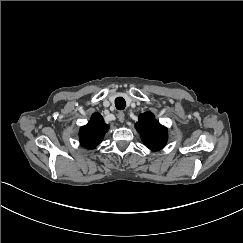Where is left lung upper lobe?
<instances>
[{
	"label": "left lung upper lobe",
	"instance_id": "left-lung-upper-lobe-1",
	"mask_svg": "<svg viewBox=\"0 0 243 243\" xmlns=\"http://www.w3.org/2000/svg\"><path fill=\"white\" fill-rule=\"evenodd\" d=\"M143 143L153 151L162 149L167 142V129L162 126L151 112L141 113L135 125Z\"/></svg>",
	"mask_w": 243,
	"mask_h": 243
}]
</instances>
